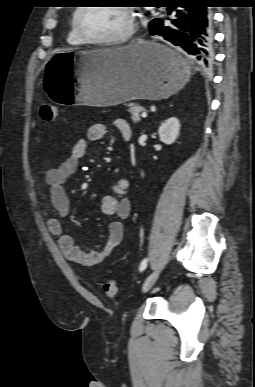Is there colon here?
<instances>
[{
  "label": "colon",
  "instance_id": "obj_1",
  "mask_svg": "<svg viewBox=\"0 0 255 387\" xmlns=\"http://www.w3.org/2000/svg\"><path fill=\"white\" fill-rule=\"evenodd\" d=\"M39 116L42 120L53 121L56 117V108L53 105L43 104L39 110ZM103 292L108 297H114L117 294V284L114 279L108 278L103 283Z\"/></svg>",
  "mask_w": 255,
  "mask_h": 387
}]
</instances>
